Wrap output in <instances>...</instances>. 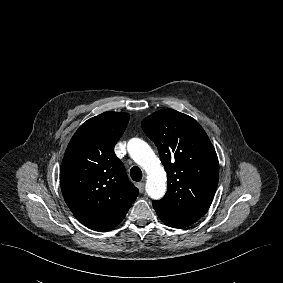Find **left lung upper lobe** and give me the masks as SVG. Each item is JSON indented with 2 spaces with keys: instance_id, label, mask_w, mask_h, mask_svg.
I'll return each mask as SVG.
<instances>
[{
  "instance_id": "left-lung-upper-lobe-1",
  "label": "left lung upper lobe",
  "mask_w": 283,
  "mask_h": 283,
  "mask_svg": "<svg viewBox=\"0 0 283 283\" xmlns=\"http://www.w3.org/2000/svg\"><path fill=\"white\" fill-rule=\"evenodd\" d=\"M141 126L157 146L168 175L165 196L153 201L156 213L173 228L193 224L210 207L218 185L213 145L195 119L173 109L154 112Z\"/></svg>"
}]
</instances>
